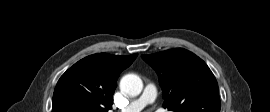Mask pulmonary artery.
Segmentation results:
<instances>
[{
  "instance_id": "pulmonary-artery-1",
  "label": "pulmonary artery",
  "mask_w": 270,
  "mask_h": 112,
  "mask_svg": "<svg viewBox=\"0 0 270 112\" xmlns=\"http://www.w3.org/2000/svg\"><path fill=\"white\" fill-rule=\"evenodd\" d=\"M156 94L157 91L155 86L153 84H148L137 99L132 100L118 112H140L146 105L154 102Z\"/></svg>"
}]
</instances>
